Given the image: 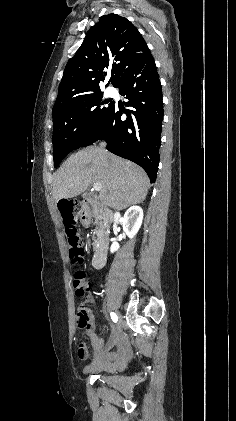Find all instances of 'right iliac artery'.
Listing matches in <instances>:
<instances>
[{
  "label": "right iliac artery",
  "mask_w": 236,
  "mask_h": 421,
  "mask_svg": "<svg viewBox=\"0 0 236 421\" xmlns=\"http://www.w3.org/2000/svg\"><path fill=\"white\" fill-rule=\"evenodd\" d=\"M110 315H111V319L116 323L118 321L117 315L114 312H111Z\"/></svg>",
  "instance_id": "obj_1"
}]
</instances>
